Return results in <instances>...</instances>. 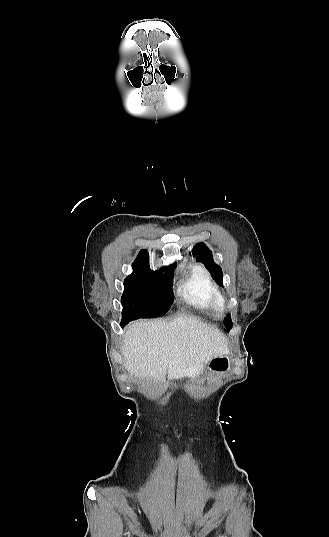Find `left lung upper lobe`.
<instances>
[{"mask_svg":"<svg viewBox=\"0 0 329 537\" xmlns=\"http://www.w3.org/2000/svg\"><path fill=\"white\" fill-rule=\"evenodd\" d=\"M192 254L193 256L199 255L198 260L205 265L206 269L210 272V274L217 281V283L222 284V269L214 262L212 252L203 242H200L195 245V247L192 249ZM225 326L228 331L232 328L233 323L231 321L230 316L226 317Z\"/></svg>","mask_w":329,"mask_h":537,"instance_id":"left-lung-upper-lobe-1","label":"left lung upper lobe"}]
</instances>
